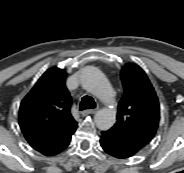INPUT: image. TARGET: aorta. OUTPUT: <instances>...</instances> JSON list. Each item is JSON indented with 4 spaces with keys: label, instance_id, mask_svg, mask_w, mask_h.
<instances>
[{
    "label": "aorta",
    "instance_id": "aorta-1",
    "mask_svg": "<svg viewBox=\"0 0 184 173\" xmlns=\"http://www.w3.org/2000/svg\"><path fill=\"white\" fill-rule=\"evenodd\" d=\"M83 87L98 97L107 107L99 110L94 117L100 130L110 129L116 122L115 92L104 74L96 67H86L81 74Z\"/></svg>",
    "mask_w": 184,
    "mask_h": 173
}]
</instances>
